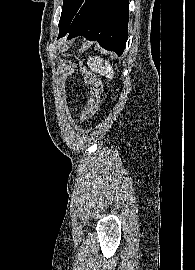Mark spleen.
Listing matches in <instances>:
<instances>
[{"instance_id": "obj_1", "label": "spleen", "mask_w": 195, "mask_h": 270, "mask_svg": "<svg viewBox=\"0 0 195 270\" xmlns=\"http://www.w3.org/2000/svg\"><path fill=\"white\" fill-rule=\"evenodd\" d=\"M87 64L91 71L98 73L109 80H112L114 77V70L109 61L103 60L98 56L88 57Z\"/></svg>"}]
</instances>
